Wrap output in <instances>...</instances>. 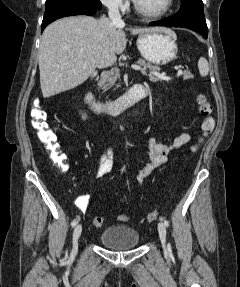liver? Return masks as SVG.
<instances>
[{
	"mask_svg": "<svg viewBox=\"0 0 240 287\" xmlns=\"http://www.w3.org/2000/svg\"><path fill=\"white\" fill-rule=\"evenodd\" d=\"M125 23L108 18L72 16L51 23L39 48L40 85L44 98L85 82L97 67L115 63L126 48ZM166 27L131 28L132 35L166 30Z\"/></svg>",
	"mask_w": 240,
	"mask_h": 287,
	"instance_id": "liver-1",
	"label": "liver"
}]
</instances>
